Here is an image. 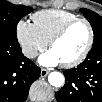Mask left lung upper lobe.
I'll use <instances>...</instances> for the list:
<instances>
[{"label":"left lung upper lobe","mask_w":102,"mask_h":102,"mask_svg":"<svg viewBox=\"0 0 102 102\" xmlns=\"http://www.w3.org/2000/svg\"><path fill=\"white\" fill-rule=\"evenodd\" d=\"M80 11L83 13V15L87 18V20L90 22L93 32H94V43L95 45H102V17L99 16L97 13L82 8Z\"/></svg>","instance_id":"obj_1"}]
</instances>
